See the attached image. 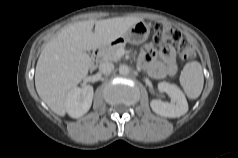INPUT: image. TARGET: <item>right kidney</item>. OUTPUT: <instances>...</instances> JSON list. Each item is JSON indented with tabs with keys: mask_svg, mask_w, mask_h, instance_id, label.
I'll list each match as a JSON object with an SVG mask.
<instances>
[{
	"mask_svg": "<svg viewBox=\"0 0 238 158\" xmlns=\"http://www.w3.org/2000/svg\"><path fill=\"white\" fill-rule=\"evenodd\" d=\"M93 87L85 85L82 88H74L67 98V112L72 118H79L86 114L92 104Z\"/></svg>",
	"mask_w": 238,
	"mask_h": 158,
	"instance_id": "right-kidney-1",
	"label": "right kidney"
}]
</instances>
